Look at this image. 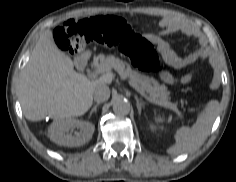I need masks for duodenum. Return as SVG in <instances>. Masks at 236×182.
<instances>
[{
  "mask_svg": "<svg viewBox=\"0 0 236 182\" xmlns=\"http://www.w3.org/2000/svg\"><path fill=\"white\" fill-rule=\"evenodd\" d=\"M88 63H89V61H88L87 57L80 56L77 60V67H78L79 71L85 72L87 69Z\"/></svg>",
  "mask_w": 236,
  "mask_h": 182,
  "instance_id": "obj_1",
  "label": "duodenum"
}]
</instances>
